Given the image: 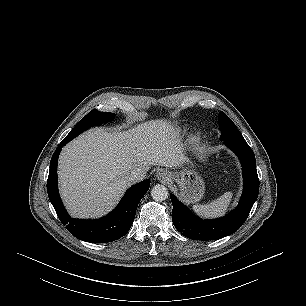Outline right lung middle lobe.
Returning <instances> with one entry per match:
<instances>
[{"instance_id":"right-lung-middle-lobe-1","label":"right lung middle lobe","mask_w":306,"mask_h":306,"mask_svg":"<svg viewBox=\"0 0 306 306\" xmlns=\"http://www.w3.org/2000/svg\"><path fill=\"white\" fill-rule=\"evenodd\" d=\"M114 115V113L100 112L94 109L90 111L82 120H80V122L71 130L65 139L70 141L89 127L112 120Z\"/></svg>"}]
</instances>
